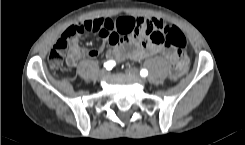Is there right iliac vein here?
<instances>
[{
  "label": "right iliac vein",
  "instance_id": "1",
  "mask_svg": "<svg viewBox=\"0 0 245 145\" xmlns=\"http://www.w3.org/2000/svg\"><path fill=\"white\" fill-rule=\"evenodd\" d=\"M107 76H108V71L106 69H102L98 73V80H102V79L106 78Z\"/></svg>",
  "mask_w": 245,
  "mask_h": 145
}]
</instances>
